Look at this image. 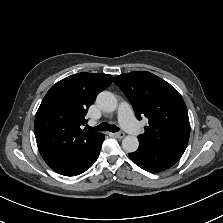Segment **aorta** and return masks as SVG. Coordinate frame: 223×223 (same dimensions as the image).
I'll list each match as a JSON object with an SVG mask.
<instances>
[{
  "instance_id": "762f6f07",
  "label": "aorta",
  "mask_w": 223,
  "mask_h": 223,
  "mask_svg": "<svg viewBox=\"0 0 223 223\" xmlns=\"http://www.w3.org/2000/svg\"><path fill=\"white\" fill-rule=\"evenodd\" d=\"M96 104L100 110L108 113L115 112L118 106L116 96L113 93L107 91H103L98 95ZM138 146V138H134L132 135H127L122 140V147L127 152L136 151Z\"/></svg>"
}]
</instances>
